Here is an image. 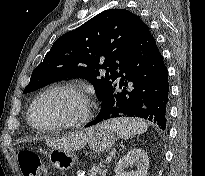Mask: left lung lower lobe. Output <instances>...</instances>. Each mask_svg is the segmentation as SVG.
Segmentation results:
<instances>
[{
  "mask_svg": "<svg viewBox=\"0 0 205 176\" xmlns=\"http://www.w3.org/2000/svg\"><path fill=\"white\" fill-rule=\"evenodd\" d=\"M118 77H121L119 82L101 100L98 116L85 127L114 118L140 117L165 130L168 71L148 26L124 58Z\"/></svg>",
  "mask_w": 205,
  "mask_h": 176,
  "instance_id": "left-lung-lower-lobe-1",
  "label": "left lung lower lobe"
}]
</instances>
